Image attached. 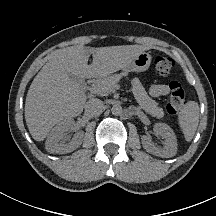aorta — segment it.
Segmentation results:
<instances>
[{
  "label": "aorta",
  "instance_id": "762f6f07",
  "mask_svg": "<svg viewBox=\"0 0 216 216\" xmlns=\"http://www.w3.org/2000/svg\"><path fill=\"white\" fill-rule=\"evenodd\" d=\"M122 111V107L119 104H114L111 108V112L113 115H120Z\"/></svg>",
  "mask_w": 216,
  "mask_h": 216
}]
</instances>
